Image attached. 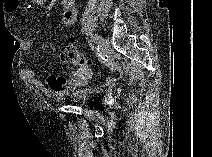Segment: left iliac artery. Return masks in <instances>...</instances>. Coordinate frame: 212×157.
<instances>
[{
  "label": "left iliac artery",
  "instance_id": "obj_1",
  "mask_svg": "<svg viewBox=\"0 0 212 157\" xmlns=\"http://www.w3.org/2000/svg\"><path fill=\"white\" fill-rule=\"evenodd\" d=\"M91 40H92L94 43H97V41H98L96 35H92V36H91Z\"/></svg>",
  "mask_w": 212,
  "mask_h": 157
}]
</instances>
